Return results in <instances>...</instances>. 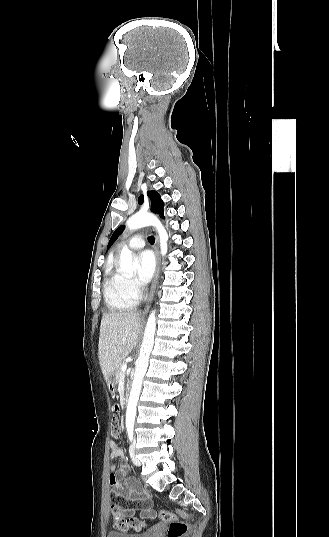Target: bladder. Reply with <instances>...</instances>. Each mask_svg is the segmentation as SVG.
I'll return each mask as SVG.
<instances>
[{
  "label": "bladder",
  "mask_w": 329,
  "mask_h": 537,
  "mask_svg": "<svg viewBox=\"0 0 329 537\" xmlns=\"http://www.w3.org/2000/svg\"><path fill=\"white\" fill-rule=\"evenodd\" d=\"M156 532V529L140 533V534H127L120 531H110L107 534V537H154V534Z\"/></svg>",
  "instance_id": "1"
}]
</instances>
